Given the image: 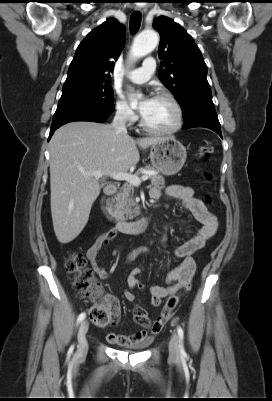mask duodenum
I'll list each match as a JSON object with an SVG mask.
<instances>
[{
  "label": "duodenum",
  "mask_w": 272,
  "mask_h": 401,
  "mask_svg": "<svg viewBox=\"0 0 272 401\" xmlns=\"http://www.w3.org/2000/svg\"><path fill=\"white\" fill-rule=\"evenodd\" d=\"M117 192L116 185H108L104 191V197L102 199V210L106 218L115 224L118 231L122 233H142L148 227V219L143 217L134 221H127L114 215L110 204V198Z\"/></svg>",
  "instance_id": "1"
}]
</instances>
